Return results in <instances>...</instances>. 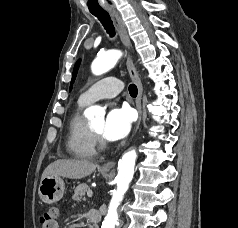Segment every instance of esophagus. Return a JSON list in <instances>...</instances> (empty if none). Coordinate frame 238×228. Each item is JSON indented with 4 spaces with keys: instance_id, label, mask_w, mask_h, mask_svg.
Segmentation results:
<instances>
[{
    "instance_id": "34e87169",
    "label": "esophagus",
    "mask_w": 238,
    "mask_h": 228,
    "mask_svg": "<svg viewBox=\"0 0 238 228\" xmlns=\"http://www.w3.org/2000/svg\"><path fill=\"white\" fill-rule=\"evenodd\" d=\"M108 12L116 26V29L118 31V34L120 36V39L123 43V45L126 47V49L128 51H130V39L125 27V24L122 20V18L120 17V15L118 14V12L115 10L114 7H110L108 8ZM128 71H129V75L132 78V80L135 82V84L137 85V89H138V94L136 97V108L138 111V120L134 129V133L137 131V129L139 128L140 122H141V117H142V109H141V99H142V92H143V87H142V83L141 80L139 78L138 72L134 66L133 60L130 56V54L127 57V62H126ZM115 166V161H109L107 163H105L102 168L105 170H111L113 169Z\"/></svg>"
}]
</instances>
